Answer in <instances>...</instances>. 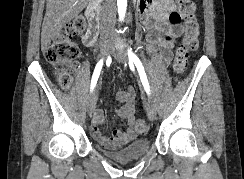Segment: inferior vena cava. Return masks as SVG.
I'll return each mask as SVG.
<instances>
[{"mask_svg": "<svg viewBox=\"0 0 244 179\" xmlns=\"http://www.w3.org/2000/svg\"><path fill=\"white\" fill-rule=\"evenodd\" d=\"M106 14H110V16H114V18H115L114 8H113L112 12H106ZM114 26H115V20H113V22H111L110 18H108L106 24H104V26H101V30H102V32H112V30H114Z\"/></svg>", "mask_w": 244, "mask_h": 179, "instance_id": "inferior-vena-cava-1", "label": "inferior vena cava"}]
</instances>
